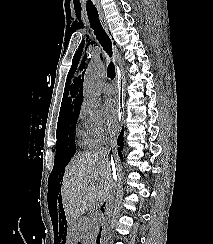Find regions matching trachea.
Masks as SVG:
<instances>
[{"label":"trachea","mask_w":213,"mask_h":244,"mask_svg":"<svg viewBox=\"0 0 213 244\" xmlns=\"http://www.w3.org/2000/svg\"><path fill=\"white\" fill-rule=\"evenodd\" d=\"M87 14L90 24L94 28V34L96 38L98 39L99 43L101 44L107 55L111 58L113 54L112 42L101 25L97 9L95 7H90L87 9ZM107 75L111 79L115 77V65L112 61L108 65Z\"/></svg>","instance_id":"3493384b"}]
</instances>
